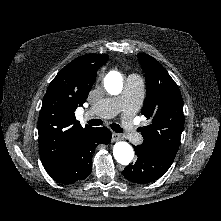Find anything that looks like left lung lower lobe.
<instances>
[{"mask_svg":"<svg viewBox=\"0 0 221 221\" xmlns=\"http://www.w3.org/2000/svg\"><path fill=\"white\" fill-rule=\"evenodd\" d=\"M137 160L123 170L124 177L134 183L145 184L160 178L171 166L177 151L149 150L133 146Z\"/></svg>","mask_w":221,"mask_h":221,"instance_id":"0a47b994","label":"left lung lower lobe"}]
</instances>
